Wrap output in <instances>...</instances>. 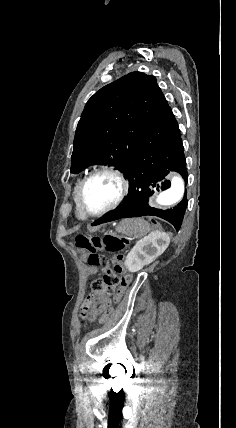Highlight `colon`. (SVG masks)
I'll list each match as a JSON object with an SVG mask.
<instances>
[{"mask_svg": "<svg viewBox=\"0 0 236 428\" xmlns=\"http://www.w3.org/2000/svg\"><path fill=\"white\" fill-rule=\"evenodd\" d=\"M129 241L126 237L107 235L103 239L98 237H86L78 235L75 238V245L87 252V262L90 266L99 268L103 276L94 279L90 283L91 295L85 301L82 314L84 317L93 318L100 315V321H107L112 313L113 307L103 306L98 297L100 295H113V301L118 304L132 280V276L122 266L123 255L118 254L110 266L107 258L99 253L106 250L112 253H120L126 248Z\"/></svg>", "mask_w": 236, "mask_h": 428, "instance_id": "1", "label": "colon"}]
</instances>
